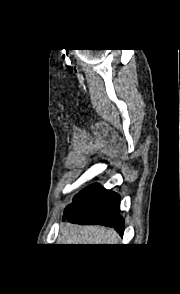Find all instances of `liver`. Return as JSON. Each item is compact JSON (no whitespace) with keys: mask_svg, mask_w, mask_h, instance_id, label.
<instances>
[{"mask_svg":"<svg viewBox=\"0 0 180 294\" xmlns=\"http://www.w3.org/2000/svg\"><path fill=\"white\" fill-rule=\"evenodd\" d=\"M118 235L102 226H80L63 223L58 237L59 244H117Z\"/></svg>","mask_w":180,"mask_h":294,"instance_id":"liver-1","label":"liver"}]
</instances>
